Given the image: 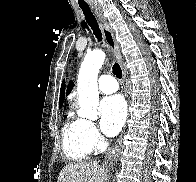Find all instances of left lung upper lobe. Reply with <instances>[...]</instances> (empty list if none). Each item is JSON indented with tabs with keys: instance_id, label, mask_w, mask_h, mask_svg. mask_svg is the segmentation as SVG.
<instances>
[{
	"instance_id": "1",
	"label": "left lung upper lobe",
	"mask_w": 196,
	"mask_h": 182,
	"mask_svg": "<svg viewBox=\"0 0 196 182\" xmlns=\"http://www.w3.org/2000/svg\"><path fill=\"white\" fill-rule=\"evenodd\" d=\"M72 87H73V83L71 82L68 86V91H67V94L70 93V91L72 90Z\"/></svg>"
}]
</instances>
